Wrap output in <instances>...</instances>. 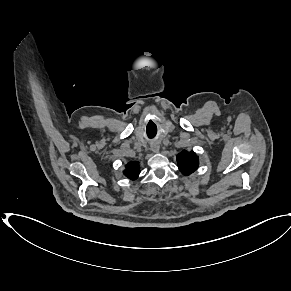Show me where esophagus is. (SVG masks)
I'll use <instances>...</instances> for the list:
<instances>
[{
	"instance_id": "esophagus-1",
	"label": "esophagus",
	"mask_w": 291,
	"mask_h": 291,
	"mask_svg": "<svg viewBox=\"0 0 291 291\" xmlns=\"http://www.w3.org/2000/svg\"><path fill=\"white\" fill-rule=\"evenodd\" d=\"M159 148H160V146H159V144L157 142L151 143V150L153 152L157 153L159 151Z\"/></svg>"
}]
</instances>
